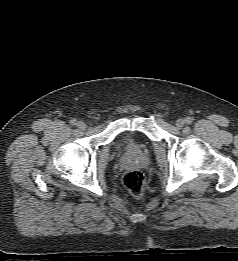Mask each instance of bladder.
<instances>
[{"label":"bladder","instance_id":"obj_1","mask_svg":"<svg viewBox=\"0 0 238 261\" xmlns=\"http://www.w3.org/2000/svg\"><path fill=\"white\" fill-rule=\"evenodd\" d=\"M115 147L117 149H127L132 146L131 135L127 132L121 133L115 140Z\"/></svg>","mask_w":238,"mask_h":261}]
</instances>
